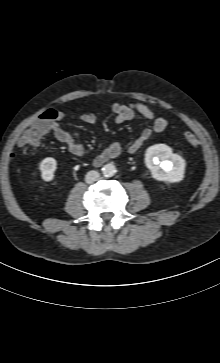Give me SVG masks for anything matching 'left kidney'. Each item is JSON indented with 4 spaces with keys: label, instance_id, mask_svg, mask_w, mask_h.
<instances>
[{
    "label": "left kidney",
    "instance_id": "5707ae66",
    "mask_svg": "<svg viewBox=\"0 0 220 363\" xmlns=\"http://www.w3.org/2000/svg\"><path fill=\"white\" fill-rule=\"evenodd\" d=\"M145 163L156 180L175 183L184 178V159L174 154L166 144L148 147L145 152Z\"/></svg>",
    "mask_w": 220,
    "mask_h": 363
}]
</instances>
